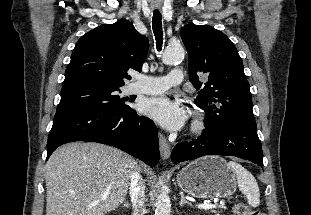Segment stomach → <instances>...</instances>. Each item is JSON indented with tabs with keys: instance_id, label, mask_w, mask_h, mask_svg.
<instances>
[{
	"instance_id": "obj_1",
	"label": "stomach",
	"mask_w": 311,
	"mask_h": 215,
	"mask_svg": "<svg viewBox=\"0 0 311 215\" xmlns=\"http://www.w3.org/2000/svg\"><path fill=\"white\" fill-rule=\"evenodd\" d=\"M179 187L199 199H219L231 196L237 178L228 163L219 156H205L190 162L177 176Z\"/></svg>"
}]
</instances>
